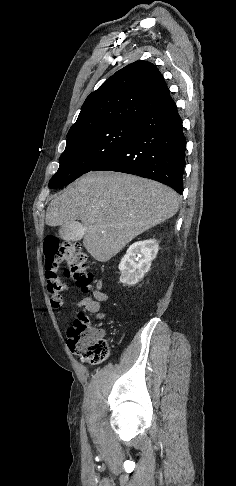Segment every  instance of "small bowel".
Wrapping results in <instances>:
<instances>
[{"label": "small bowel", "mask_w": 236, "mask_h": 486, "mask_svg": "<svg viewBox=\"0 0 236 486\" xmlns=\"http://www.w3.org/2000/svg\"><path fill=\"white\" fill-rule=\"evenodd\" d=\"M109 298L110 296L103 291V284L99 280L92 295L79 300L77 306L84 313L94 314L97 320H104L107 317V313L101 311V304L108 301ZM101 333L102 335L104 334L102 330Z\"/></svg>", "instance_id": "small-bowel-1"}]
</instances>
